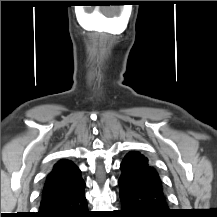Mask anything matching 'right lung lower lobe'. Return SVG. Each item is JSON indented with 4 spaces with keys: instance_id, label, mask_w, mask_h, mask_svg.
Returning a JSON list of instances; mask_svg holds the SVG:
<instances>
[{
    "instance_id": "right-lung-lower-lobe-1",
    "label": "right lung lower lobe",
    "mask_w": 217,
    "mask_h": 217,
    "mask_svg": "<svg viewBox=\"0 0 217 217\" xmlns=\"http://www.w3.org/2000/svg\"><path fill=\"white\" fill-rule=\"evenodd\" d=\"M84 188L72 195L40 204L39 212L33 217H91Z\"/></svg>"
}]
</instances>
